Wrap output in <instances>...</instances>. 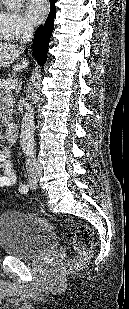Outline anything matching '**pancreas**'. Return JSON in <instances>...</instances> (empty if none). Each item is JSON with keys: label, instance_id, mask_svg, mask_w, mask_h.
<instances>
[{"label": "pancreas", "instance_id": "1", "mask_svg": "<svg viewBox=\"0 0 129 309\" xmlns=\"http://www.w3.org/2000/svg\"><path fill=\"white\" fill-rule=\"evenodd\" d=\"M5 82L6 80L0 79V99L2 95L4 94L9 95L11 93V89H7L5 87ZM12 114H13L12 109L4 110L0 108V121L4 126H6L8 122L12 120Z\"/></svg>", "mask_w": 129, "mask_h": 309}]
</instances>
